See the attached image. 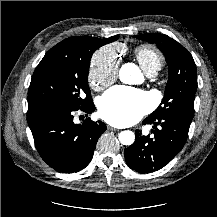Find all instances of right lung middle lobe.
<instances>
[{"label": "right lung middle lobe", "instance_id": "1", "mask_svg": "<svg viewBox=\"0 0 217 217\" xmlns=\"http://www.w3.org/2000/svg\"><path fill=\"white\" fill-rule=\"evenodd\" d=\"M101 47L94 37L58 43L36 67L28 92V110L45 106L80 109L92 102L88 71L93 53Z\"/></svg>", "mask_w": 217, "mask_h": 217}]
</instances>
